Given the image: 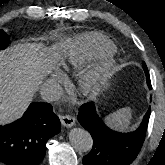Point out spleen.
Here are the masks:
<instances>
[{"label": "spleen", "instance_id": "1", "mask_svg": "<svg viewBox=\"0 0 165 165\" xmlns=\"http://www.w3.org/2000/svg\"><path fill=\"white\" fill-rule=\"evenodd\" d=\"M132 118V110L125 107L117 110L105 118L106 123L117 130L125 131L130 128V120Z\"/></svg>", "mask_w": 165, "mask_h": 165}]
</instances>
